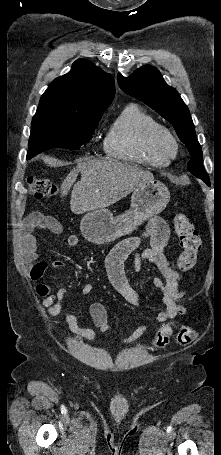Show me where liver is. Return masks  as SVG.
Returning <instances> with one entry per match:
<instances>
[{
  "instance_id": "liver-1",
  "label": "liver",
  "mask_w": 221,
  "mask_h": 455,
  "mask_svg": "<svg viewBox=\"0 0 221 455\" xmlns=\"http://www.w3.org/2000/svg\"><path fill=\"white\" fill-rule=\"evenodd\" d=\"M81 179L75 183L78 174ZM153 174L135 165L119 161L90 159L77 164L61 184V196L67 195L74 184L70 208L82 214L97 208H105L126 197Z\"/></svg>"
}]
</instances>
